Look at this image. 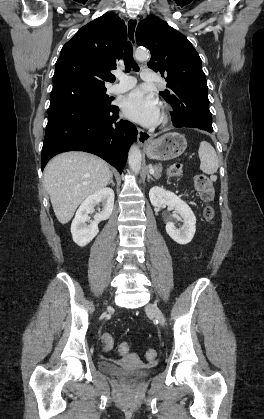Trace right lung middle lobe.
<instances>
[{
  "mask_svg": "<svg viewBox=\"0 0 264 419\" xmlns=\"http://www.w3.org/2000/svg\"><path fill=\"white\" fill-rule=\"evenodd\" d=\"M106 88H74L51 95L48 113L66 103H80L97 107H111Z\"/></svg>",
  "mask_w": 264,
  "mask_h": 419,
  "instance_id": "obj_1",
  "label": "right lung middle lobe"
}]
</instances>
